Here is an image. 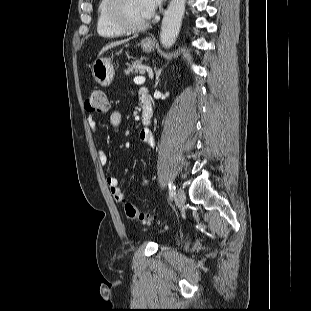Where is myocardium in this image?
I'll return each mask as SVG.
<instances>
[{
	"label": "myocardium",
	"mask_w": 311,
	"mask_h": 311,
	"mask_svg": "<svg viewBox=\"0 0 311 311\" xmlns=\"http://www.w3.org/2000/svg\"><path fill=\"white\" fill-rule=\"evenodd\" d=\"M123 2L124 0H108L106 13L111 23L124 33H137L147 29L150 24L149 20L139 25H132L124 19Z\"/></svg>",
	"instance_id": "myocardium-1"
}]
</instances>
